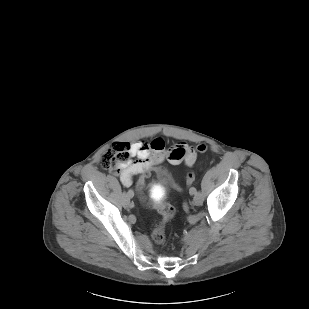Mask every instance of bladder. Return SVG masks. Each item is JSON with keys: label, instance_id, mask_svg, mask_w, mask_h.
I'll use <instances>...</instances> for the list:
<instances>
[{"label": "bladder", "instance_id": "1", "mask_svg": "<svg viewBox=\"0 0 309 309\" xmlns=\"http://www.w3.org/2000/svg\"><path fill=\"white\" fill-rule=\"evenodd\" d=\"M150 194L153 196V195H155L156 194V190H155V188L154 187H151L150 188ZM154 203H161L160 202V200H154Z\"/></svg>", "mask_w": 309, "mask_h": 309}]
</instances>
